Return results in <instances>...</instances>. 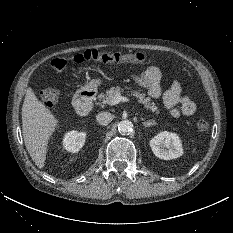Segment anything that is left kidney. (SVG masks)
<instances>
[{"instance_id":"obj_1","label":"left kidney","mask_w":233,"mask_h":233,"mask_svg":"<svg viewBox=\"0 0 233 233\" xmlns=\"http://www.w3.org/2000/svg\"><path fill=\"white\" fill-rule=\"evenodd\" d=\"M150 147L160 159H175L183 154L182 143L176 133L167 131L160 132L157 136L150 140Z\"/></svg>"}]
</instances>
